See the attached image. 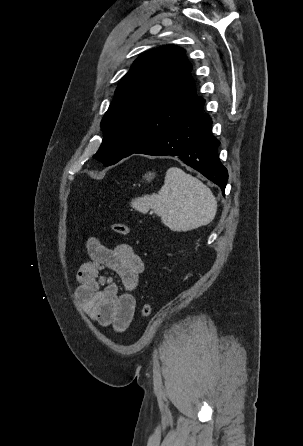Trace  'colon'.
<instances>
[{
    "label": "colon",
    "instance_id": "obj_1",
    "mask_svg": "<svg viewBox=\"0 0 303 446\" xmlns=\"http://www.w3.org/2000/svg\"><path fill=\"white\" fill-rule=\"evenodd\" d=\"M111 229L118 235L126 236L130 233V228L127 224L114 222L111 224ZM152 312V305L149 303H145L141 309V314L144 317H147Z\"/></svg>",
    "mask_w": 303,
    "mask_h": 446
}]
</instances>
